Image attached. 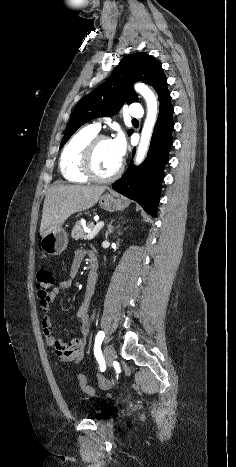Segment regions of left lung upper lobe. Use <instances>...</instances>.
I'll list each match as a JSON object with an SVG mask.
<instances>
[{"mask_svg":"<svg viewBox=\"0 0 236 467\" xmlns=\"http://www.w3.org/2000/svg\"><path fill=\"white\" fill-rule=\"evenodd\" d=\"M136 81L151 85L158 97L167 89V79L157 59L146 53L125 56L106 82L78 102L66 127L60 148L84 123L116 114L125 102H137L138 98L133 90V83ZM132 133V130L128 131L129 135Z\"/></svg>","mask_w":236,"mask_h":467,"instance_id":"5c2ea615","label":"left lung upper lobe"}]
</instances>
